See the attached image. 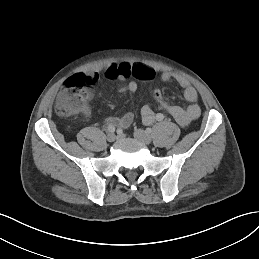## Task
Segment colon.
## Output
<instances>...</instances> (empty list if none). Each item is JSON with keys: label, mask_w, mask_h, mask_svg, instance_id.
I'll return each mask as SVG.
<instances>
[{"label": "colon", "mask_w": 259, "mask_h": 259, "mask_svg": "<svg viewBox=\"0 0 259 259\" xmlns=\"http://www.w3.org/2000/svg\"><path fill=\"white\" fill-rule=\"evenodd\" d=\"M88 84V80L82 75H74L68 78L60 92L56 104V113L61 117H71L84 111L89 100ZM157 91L159 90H151L153 98Z\"/></svg>", "instance_id": "colon-1"}]
</instances>
